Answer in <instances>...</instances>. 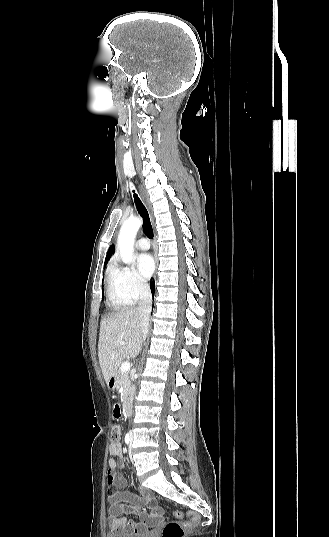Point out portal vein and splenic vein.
<instances>
[{"label":"portal vein and splenic vein","mask_w":329,"mask_h":537,"mask_svg":"<svg viewBox=\"0 0 329 537\" xmlns=\"http://www.w3.org/2000/svg\"><path fill=\"white\" fill-rule=\"evenodd\" d=\"M123 344H124V343L121 342V345H123ZM129 369H130V363H129V361H125V362H123L122 365H121V370H122L123 372H126V371H128Z\"/></svg>","instance_id":"18ae733b"}]
</instances>
